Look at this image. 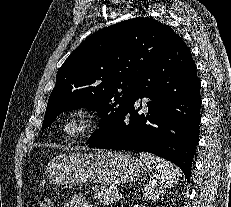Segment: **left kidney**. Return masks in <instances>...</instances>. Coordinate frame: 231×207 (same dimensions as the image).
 Instances as JSON below:
<instances>
[{
    "mask_svg": "<svg viewBox=\"0 0 231 207\" xmlns=\"http://www.w3.org/2000/svg\"><path fill=\"white\" fill-rule=\"evenodd\" d=\"M134 207H147V206H142V205H135Z\"/></svg>",
    "mask_w": 231,
    "mask_h": 207,
    "instance_id": "5707ae66",
    "label": "left kidney"
}]
</instances>
